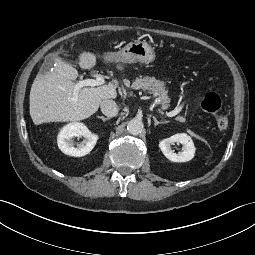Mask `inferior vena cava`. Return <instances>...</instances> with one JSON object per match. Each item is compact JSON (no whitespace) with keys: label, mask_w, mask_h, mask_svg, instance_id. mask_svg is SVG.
I'll return each mask as SVG.
<instances>
[{"label":"inferior vena cava","mask_w":255,"mask_h":255,"mask_svg":"<svg viewBox=\"0 0 255 255\" xmlns=\"http://www.w3.org/2000/svg\"><path fill=\"white\" fill-rule=\"evenodd\" d=\"M101 111L107 117H114L118 114V105L111 99L103 100L101 102Z\"/></svg>","instance_id":"1"}]
</instances>
